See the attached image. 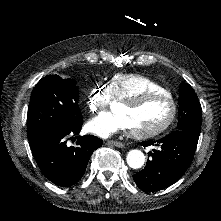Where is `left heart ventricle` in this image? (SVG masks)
Listing matches in <instances>:
<instances>
[{"mask_svg": "<svg viewBox=\"0 0 221 221\" xmlns=\"http://www.w3.org/2000/svg\"><path fill=\"white\" fill-rule=\"evenodd\" d=\"M171 115V106L166 101L153 100L141 103L137 117L132 124H153L157 120H166Z\"/></svg>", "mask_w": 221, "mask_h": 221, "instance_id": "obj_1", "label": "left heart ventricle"}]
</instances>
